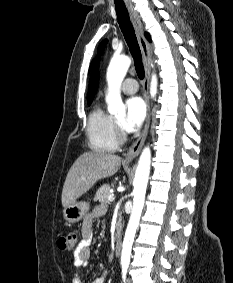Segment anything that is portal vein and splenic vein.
I'll return each mask as SVG.
<instances>
[{"label": "portal vein and splenic vein", "instance_id": "18ae733b", "mask_svg": "<svg viewBox=\"0 0 233 283\" xmlns=\"http://www.w3.org/2000/svg\"><path fill=\"white\" fill-rule=\"evenodd\" d=\"M114 199H115L114 194H110V195L108 196V200H109V201H113Z\"/></svg>", "mask_w": 233, "mask_h": 283}]
</instances>
